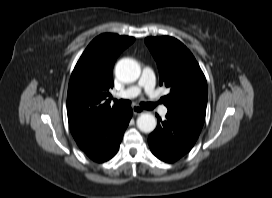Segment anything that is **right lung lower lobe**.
I'll return each instance as SVG.
<instances>
[{
	"label": "right lung lower lobe",
	"mask_w": 272,
	"mask_h": 198,
	"mask_svg": "<svg viewBox=\"0 0 272 198\" xmlns=\"http://www.w3.org/2000/svg\"><path fill=\"white\" fill-rule=\"evenodd\" d=\"M132 113L131 108L115 110L96 127L76 139L77 145L94 161L111 159L118 151Z\"/></svg>",
	"instance_id": "98d812e1"
}]
</instances>
